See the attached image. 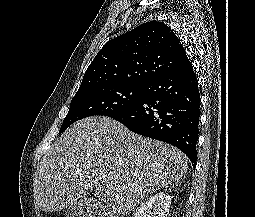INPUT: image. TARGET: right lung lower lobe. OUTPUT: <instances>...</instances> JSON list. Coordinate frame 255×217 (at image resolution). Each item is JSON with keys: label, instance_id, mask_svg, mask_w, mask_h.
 I'll list each match as a JSON object with an SVG mask.
<instances>
[{"label": "right lung lower lobe", "instance_id": "98d812e1", "mask_svg": "<svg viewBox=\"0 0 255 217\" xmlns=\"http://www.w3.org/2000/svg\"><path fill=\"white\" fill-rule=\"evenodd\" d=\"M198 80L191 62L154 80L129 107L106 114L140 135L170 143L195 168L200 115Z\"/></svg>", "mask_w": 255, "mask_h": 217}]
</instances>
